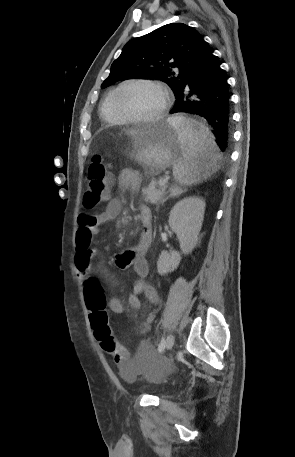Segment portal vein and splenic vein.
Returning a JSON list of instances; mask_svg holds the SVG:
<instances>
[{"label":"portal vein and splenic vein","mask_w":295,"mask_h":457,"mask_svg":"<svg viewBox=\"0 0 295 457\" xmlns=\"http://www.w3.org/2000/svg\"><path fill=\"white\" fill-rule=\"evenodd\" d=\"M167 183H168L167 178H163V179L159 180V185L162 187L165 186Z\"/></svg>","instance_id":"18ae733b"}]
</instances>
